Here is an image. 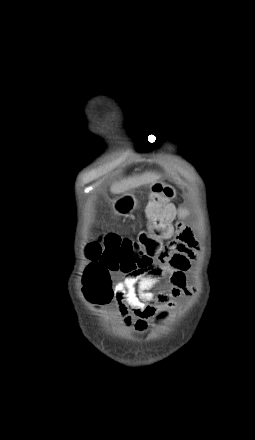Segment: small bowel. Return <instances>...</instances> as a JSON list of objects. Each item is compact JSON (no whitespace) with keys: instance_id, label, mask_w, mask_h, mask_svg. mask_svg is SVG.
<instances>
[{"instance_id":"obj_1","label":"small bowel","mask_w":255,"mask_h":440,"mask_svg":"<svg viewBox=\"0 0 255 440\" xmlns=\"http://www.w3.org/2000/svg\"><path fill=\"white\" fill-rule=\"evenodd\" d=\"M187 214L186 209L179 210L180 217ZM166 251L164 259L148 268L128 272L110 288L111 300L116 302L123 323L138 333L146 332L149 320L160 308H175L181 297L194 294V286L187 283V272L198 256L191 228L178 225L175 239L167 244ZM165 277H169L170 287L153 292Z\"/></svg>"}]
</instances>
